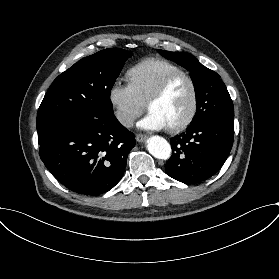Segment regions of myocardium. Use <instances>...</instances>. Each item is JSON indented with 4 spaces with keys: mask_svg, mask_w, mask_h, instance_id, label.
Listing matches in <instances>:
<instances>
[{
    "mask_svg": "<svg viewBox=\"0 0 279 279\" xmlns=\"http://www.w3.org/2000/svg\"><path fill=\"white\" fill-rule=\"evenodd\" d=\"M181 78L187 79L192 87V91H193L192 104H191V108H190L188 115L181 123L167 127L168 130L172 133H179V132L187 129L191 125V123L194 121V119L197 115L198 108H199V88H198V85H197L195 79L193 78V76L190 73L185 72V71H180V72L169 75L154 90V92L147 99V103H146L147 109L150 110L151 105L155 101L162 98L168 92V90L171 88V86L174 83H176L178 80H180Z\"/></svg>",
    "mask_w": 279,
    "mask_h": 279,
    "instance_id": "myocardium-1",
    "label": "myocardium"
}]
</instances>
